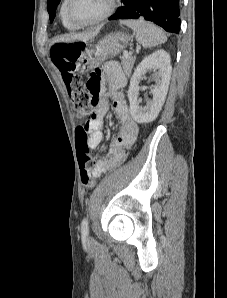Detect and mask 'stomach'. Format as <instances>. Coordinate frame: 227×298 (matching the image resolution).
<instances>
[{
  "instance_id": "0dacf381",
  "label": "stomach",
  "mask_w": 227,
  "mask_h": 298,
  "mask_svg": "<svg viewBox=\"0 0 227 298\" xmlns=\"http://www.w3.org/2000/svg\"><path fill=\"white\" fill-rule=\"evenodd\" d=\"M131 36L127 33L112 32L102 38L97 45L84 52L77 65L81 74L98 67L106 59L118 55L130 42Z\"/></svg>"
}]
</instances>
